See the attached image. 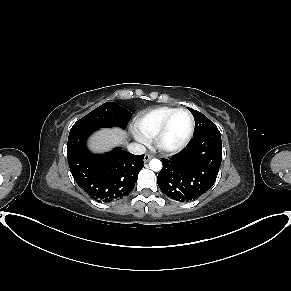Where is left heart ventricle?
Returning a JSON list of instances; mask_svg holds the SVG:
<instances>
[{"instance_id": "b2bd125f", "label": "left heart ventricle", "mask_w": 291, "mask_h": 291, "mask_svg": "<svg viewBox=\"0 0 291 291\" xmlns=\"http://www.w3.org/2000/svg\"><path fill=\"white\" fill-rule=\"evenodd\" d=\"M190 127V117L186 112L177 113L171 120L164 142L172 146L181 142Z\"/></svg>"}]
</instances>
